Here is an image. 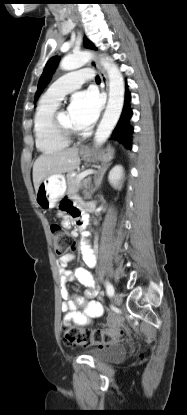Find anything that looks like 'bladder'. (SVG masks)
I'll return each instance as SVG.
<instances>
[{
	"label": "bladder",
	"instance_id": "bladder-1",
	"mask_svg": "<svg viewBox=\"0 0 187 415\" xmlns=\"http://www.w3.org/2000/svg\"><path fill=\"white\" fill-rule=\"evenodd\" d=\"M125 351L124 343L113 342L100 348L86 349L84 353L99 361H114L121 359Z\"/></svg>",
	"mask_w": 187,
	"mask_h": 415
}]
</instances>
